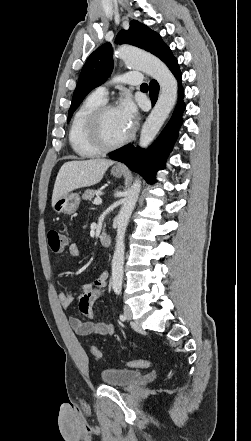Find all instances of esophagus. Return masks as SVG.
I'll return each mask as SVG.
<instances>
[{"instance_id": "34e87169", "label": "esophagus", "mask_w": 251, "mask_h": 441, "mask_svg": "<svg viewBox=\"0 0 251 441\" xmlns=\"http://www.w3.org/2000/svg\"><path fill=\"white\" fill-rule=\"evenodd\" d=\"M116 167H117V168H124V165L119 164V165H117Z\"/></svg>"}]
</instances>
